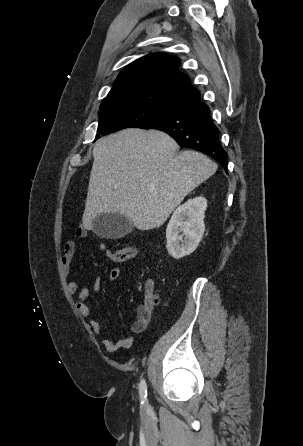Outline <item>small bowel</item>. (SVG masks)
<instances>
[{
    "label": "small bowel",
    "instance_id": "1",
    "mask_svg": "<svg viewBox=\"0 0 303 446\" xmlns=\"http://www.w3.org/2000/svg\"><path fill=\"white\" fill-rule=\"evenodd\" d=\"M76 236L79 238H83L87 235V230L84 226H79L75 232ZM98 249L100 251H104L106 249V244L104 242H100L98 244ZM76 244L73 240L66 241L63 254L61 257V265L63 272L67 278V289L70 294H77L76 300V309L77 311L85 316L90 317L92 315V310L87 304V299L90 293V288L87 285L80 286L79 283L74 279H68V275L70 272L71 263L75 254ZM120 274V270L117 267H114L110 270L108 279L109 281H114L118 278ZM153 290V284L147 283L145 286V292L147 295L151 294ZM92 291L95 297H97L101 291V280L98 275H95L92 283ZM154 306L153 304L146 299L142 304L138 305L136 308V320L132 325V331L134 333L142 332L150 323L153 316ZM89 325L93 332L101 336H107L108 330L101 325L96 320H90ZM133 338L132 336H127L125 338L119 340H111L105 339L102 341V346L106 352L113 353L117 352L121 349L129 348L132 345Z\"/></svg>",
    "mask_w": 303,
    "mask_h": 446
}]
</instances>
